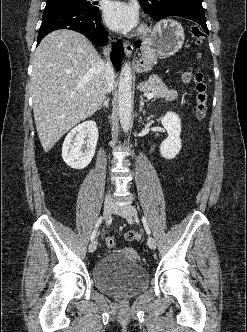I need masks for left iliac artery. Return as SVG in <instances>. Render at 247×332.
I'll return each mask as SVG.
<instances>
[{
	"instance_id": "obj_1",
	"label": "left iliac artery",
	"mask_w": 247,
	"mask_h": 332,
	"mask_svg": "<svg viewBox=\"0 0 247 332\" xmlns=\"http://www.w3.org/2000/svg\"><path fill=\"white\" fill-rule=\"evenodd\" d=\"M142 222H143V225H144V228H145L147 234H150L151 231H150V228L148 226L147 220H146V218L144 216L142 217Z\"/></svg>"
}]
</instances>
